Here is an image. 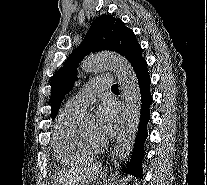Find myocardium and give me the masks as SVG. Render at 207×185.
Here are the masks:
<instances>
[{"label": "myocardium", "mask_w": 207, "mask_h": 185, "mask_svg": "<svg viewBox=\"0 0 207 185\" xmlns=\"http://www.w3.org/2000/svg\"><path fill=\"white\" fill-rule=\"evenodd\" d=\"M79 134L84 145L95 154L103 152L108 147V141L97 140L95 137L86 134L82 128L79 129Z\"/></svg>", "instance_id": "f54148a6"}]
</instances>
